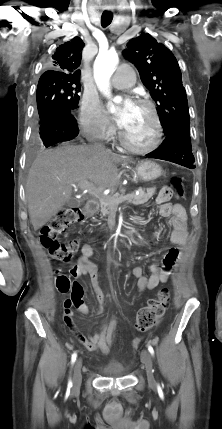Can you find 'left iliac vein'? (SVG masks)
Here are the masks:
<instances>
[{
	"mask_svg": "<svg viewBox=\"0 0 222 429\" xmlns=\"http://www.w3.org/2000/svg\"><path fill=\"white\" fill-rule=\"evenodd\" d=\"M141 360L145 365L149 385H154L153 362L150 353L144 350L141 354Z\"/></svg>",
	"mask_w": 222,
	"mask_h": 429,
	"instance_id": "4c4485c4",
	"label": "left iliac vein"
}]
</instances>
